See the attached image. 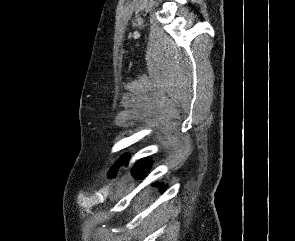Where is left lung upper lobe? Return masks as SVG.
Here are the masks:
<instances>
[{"label": "left lung upper lobe", "mask_w": 295, "mask_h": 241, "mask_svg": "<svg viewBox=\"0 0 295 241\" xmlns=\"http://www.w3.org/2000/svg\"><path fill=\"white\" fill-rule=\"evenodd\" d=\"M128 158H129V156H128V155H127V156L125 155V156L122 158L123 162H126ZM117 168H118V163H117L115 166L112 167V169H111V171H110V176H115V175H116V170H117Z\"/></svg>", "instance_id": "obj_1"}]
</instances>
